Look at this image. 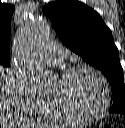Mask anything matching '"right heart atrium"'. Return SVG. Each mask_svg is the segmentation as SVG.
<instances>
[{
	"mask_svg": "<svg viewBox=\"0 0 125 128\" xmlns=\"http://www.w3.org/2000/svg\"><path fill=\"white\" fill-rule=\"evenodd\" d=\"M10 92L15 107L26 114L39 113L48 99L41 94L20 72L12 70L9 74Z\"/></svg>",
	"mask_w": 125,
	"mask_h": 128,
	"instance_id": "d8ad5b80",
	"label": "right heart atrium"
}]
</instances>
